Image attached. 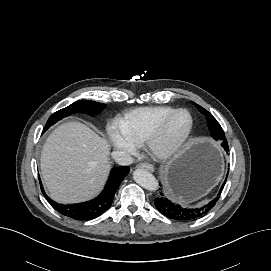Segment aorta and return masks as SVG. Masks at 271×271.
<instances>
[{"label":"aorta","instance_id":"aorta-1","mask_svg":"<svg viewBox=\"0 0 271 271\" xmlns=\"http://www.w3.org/2000/svg\"><path fill=\"white\" fill-rule=\"evenodd\" d=\"M133 179L137 184L149 191H156L158 189L157 179L144 169H136L133 172Z\"/></svg>","mask_w":271,"mask_h":271}]
</instances>
